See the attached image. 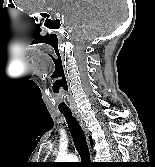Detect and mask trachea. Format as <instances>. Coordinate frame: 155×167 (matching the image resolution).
<instances>
[{
    "label": "trachea",
    "instance_id": "3493384b",
    "mask_svg": "<svg viewBox=\"0 0 155 167\" xmlns=\"http://www.w3.org/2000/svg\"><path fill=\"white\" fill-rule=\"evenodd\" d=\"M61 113L64 115L68 123L69 131L71 133L76 150L78 151L82 162H89L90 161L89 149L87 146L85 134L81 126L72 116L71 111H61Z\"/></svg>",
    "mask_w": 155,
    "mask_h": 167
}]
</instances>
